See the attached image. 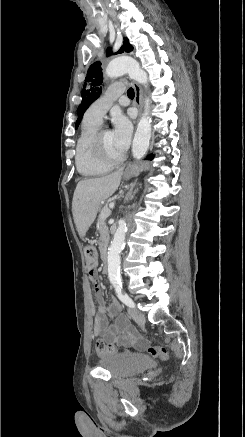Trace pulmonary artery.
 <instances>
[{
	"label": "pulmonary artery",
	"mask_w": 245,
	"mask_h": 437,
	"mask_svg": "<svg viewBox=\"0 0 245 437\" xmlns=\"http://www.w3.org/2000/svg\"><path fill=\"white\" fill-rule=\"evenodd\" d=\"M124 90L125 85L121 82L111 84L104 95L90 105L85 113V117L100 123L115 99L120 96Z\"/></svg>",
	"instance_id": "1"
}]
</instances>
